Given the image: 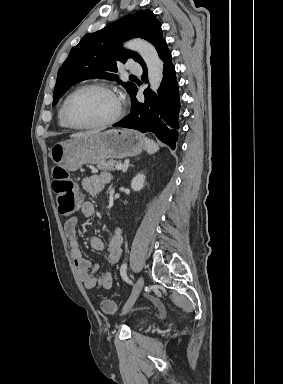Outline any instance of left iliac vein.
Listing matches in <instances>:
<instances>
[{
    "label": "left iliac vein",
    "instance_id": "4c4485c4",
    "mask_svg": "<svg viewBox=\"0 0 283 384\" xmlns=\"http://www.w3.org/2000/svg\"><path fill=\"white\" fill-rule=\"evenodd\" d=\"M143 285H144V278L142 276H140L138 278L134 288H133L132 295L130 296L128 302L126 303V305L123 308L122 314H126L131 309V307L133 306L134 302L136 301L139 293L141 292Z\"/></svg>",
    "mask_w": 283,
    "mask_h": 384
}]
</instances>
